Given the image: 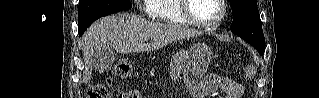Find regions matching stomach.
Listing matches in <instances>:
<instances>
[{
	"label": "stomach",
	"mask_w": 319,
	"mask_h": 98,
	"mask_svg": "<svg viewBox=\"0 0 319 98\" xmlns=\"http://www.w3.org/2000/svg\"><path fill=\"white\" fill-rule=\"evenodd\" d=\"M183 81L192 94L201 88V78L212 58L211 49L204 43H196L184 52Z\"/></svg>",
	"instance_id": "stomach-1"
}]
</instances>
